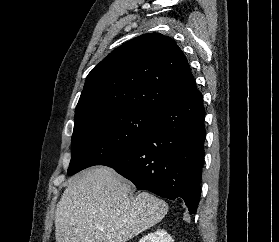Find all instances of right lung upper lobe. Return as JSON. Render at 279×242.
<instances>
[{"instance_id":"1","label":"right lung upper lobe","mask_w":279,"mask_h":242,"mask_svg":"<svg viewBox=\"0 0 279 242\" xmlns=\"http://www.w3.org/2000/svg\"><path fill=\"white\" fill-rule=\"evenodd\" d=\"M199 96L188 61L175 41L149 33L115 49L88 74L75 118L118 109L159 113Z\"/></svg>"}]
</instances>
